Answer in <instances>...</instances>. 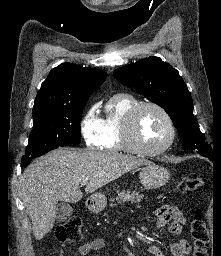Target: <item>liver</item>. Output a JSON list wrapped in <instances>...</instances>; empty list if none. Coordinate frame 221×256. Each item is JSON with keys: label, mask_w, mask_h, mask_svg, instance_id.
Returning <instances> with one entry per match:
<instances>
[{"label": "liver", "mask_w": 221, "mask_h": 256, "mask_svg": "<svg viewBox=\"0 0 221 256\" xmlns=\"http://www.w3.org/2000/svg\"><path fill=\"white\" fill-rule=\"evenodd\" d=\"M150 161L113 151L58 148L34 160L19 180L20 196L33 225V235L42 239L54 226L58 201L76 203L85 192L93 193L125 173Z\"/></svg>", "instance_id": "obj_1"}]
</instances>
